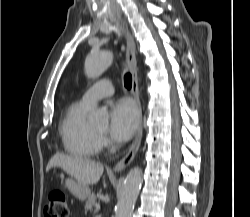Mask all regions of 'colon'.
<instances>
[{
    "label": "colon",
    "mask_w": 250,
    "mask_h": 217,
    "mask_svg": "<svg viewBox=\"0 0 250 217\" xmlns=\"http://www.w3.org/2000/svg\"><path fill=\"white\" fill-rule=\"evenodd\" d=\"M44 217H69V206L62 191L50 192L44 207Z\"/></svg>",
    "instance_id": "obj_1"
}]
</instances>
